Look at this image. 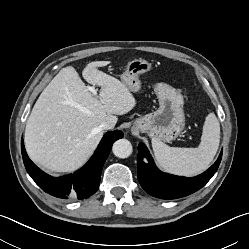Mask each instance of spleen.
<instances>
[{"mask_svg":"<svg viewBox=\"0 0 249 249\" xmlns=\"http://www.w3.org/2000/svg\"><path fill=\"white\" fill-rule=\"evenodd\" d=\"M220 142V124L214 113L205 119L201 143L197 148L170 147L152 138L155 159L165 171L182 176H195L213 161Z\"/></svg>","mask_w":249,"mask_h":249,"instance_id":"spleen-1","label":"spleen"}]
</instances>
